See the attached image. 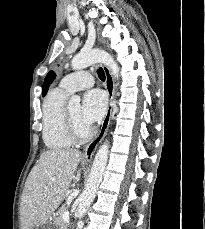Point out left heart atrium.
I'll list each match as a JSON object with an SVG mask.
<instances>
[{"label": "left heart atrium", "instance_id": "left-heart-atrium-1", "mask_svg": "<svg viewBox=\"0 0 205 229\" xmlns=\"http://www.w3.org/2000/svg\"><path fill=\"white\" fill-rule=\"evenodd\" d=\"M107 96L100 89L88 91L81 105V119L89 127L100 120L106 112Z\"/></svg>", "mask_w": 205, "mask_h": 229}]
</instances>
